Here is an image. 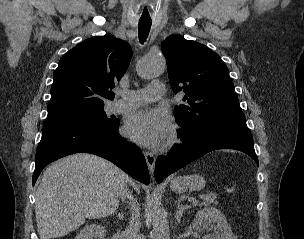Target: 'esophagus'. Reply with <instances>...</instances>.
Returning <instances> with one entry per match:
<instances>
[{"instance_id": "34e87169", "label": "esophagus", "mask_w": 304, "mask_h": 239, "mask_svg": "<svg viewBox=\"0 0 304 239\" xmlns=\"http://www.w3.org/2000/svg\"><path fill=\"white\" fill-rule=\"evenodd\" d=\"M144 156L146 159V163L149 169L150 174L153 176L154 175V168H155V156L153 153L149 151L144 152Z\"/></svg>"}]
</instances>
